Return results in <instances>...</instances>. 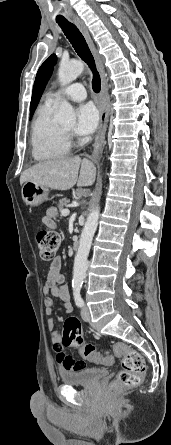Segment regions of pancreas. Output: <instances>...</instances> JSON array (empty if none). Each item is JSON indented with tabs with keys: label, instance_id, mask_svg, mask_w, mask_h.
Masks as SVG:
<instances>
[{
	"label": "pancreas",
	"instance_id": "pancreas-1",
	"mask_svg": "<svg viewBox=\"0 0 171 445\" xmlns=\"http://www.w3.org/2000/svg\"><path fill=\"white\" fill-rule=\"evenodd\" d=\"M69 202H70L69 199H67V198H62V199L59 201V204H58L59 211H60V212L63 211V210H64V206H66Z\"/></svg>",
	"mask_w": 171,
	"mask_h": 445
}]
</instances>
